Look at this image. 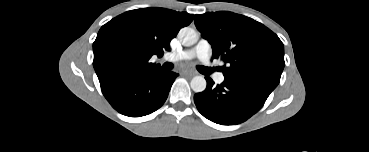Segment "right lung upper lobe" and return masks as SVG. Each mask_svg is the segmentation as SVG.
<instances>
[{"instance_id": "right-lung-upper-lobe-1", "label": "right lung upper lobe", "mask_w": 369, "mask_h": 152, "mask_svg": "<svg viewBox=\"0 0 369 152\" xmlns=\"http://www.w3.org/2000/svg\"><path fill=\"white\" fill-rule=\"evenodd\" d=\"M194 18L164 8L127 11L103 25L93 43V66L101 88L139 72L161 69L149 62L163 56L178 31Z\"/></svg>"}]
</instances>
